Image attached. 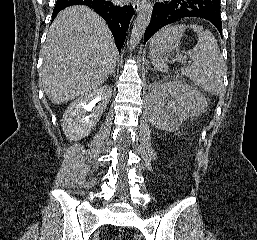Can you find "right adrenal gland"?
Segmentation results:
<instances>
[{
  "label": "right adrenal gland",
  "instance_id": "obj_1",
  "mask_svg": "<svg viewBox=\"0 0 257 240\" xmlns=\"http://www.w3.org/2000/svg\"><path fill=\"white\" fill-rule=\"evenodd\" d=\"M111 75H113V77L115 78V69H113V71L110 73L108 77H110Z\"/></svg>",
  "mask_w": 257,
  "mask_h": 240
}]
</instances>
